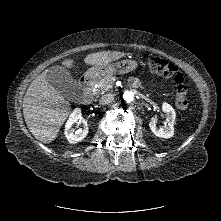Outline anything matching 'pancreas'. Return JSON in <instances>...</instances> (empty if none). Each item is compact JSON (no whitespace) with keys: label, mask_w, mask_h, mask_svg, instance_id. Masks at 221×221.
Segmentation results:
<instances>
[{"label":"pancreas","mask_w":221,"mask_h":221,"mask_svg":"<svg viewBox=\"0 0 221 221\" xmlns=\"http://www.w3.org/2000/svg\"><path fill=\"white\" fill-rule=\"evenodd\" d=\"M116 81V77L114 76H106L103 79H100L97 82V87L93 88V94L95 96H99L107 91H110L114 85V82Z\"/></svg>","instance_id":"1"}]
</instances>
